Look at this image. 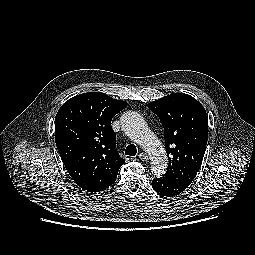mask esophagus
Here are the masks:
<instances>
[{
	"label": "esophagus",
	"mask_w": 255,
	"mask_h": 255,
	"mask_svg": "<svg viewBox=\"0 0 255 255\" xmlns=\"http://www.w3.org/2000/svg\"><path fill=\"white\" fill-rule=\"evenodd\" d=\"M139 159L142 160V161H147L148 160V155L144 152L140 153L138 155Z\"/></svg>",
	"instance_id": "obj_1"
}]
</instances>
